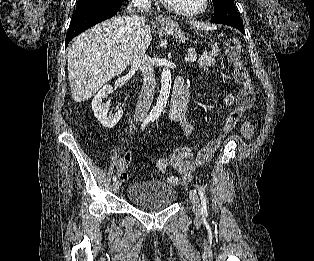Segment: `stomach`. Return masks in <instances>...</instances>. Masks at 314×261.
Listing matches in <instances>:
<instances>
[{"label": "stomach", "mask_w": 314, "mask_h": 261, "mask_svg": "<svg viewBox=\"0 0 314 261\" xmlns=\"http://www.w3.org/2000/svg\"><path fill=\"white\" fill-rule=\"evenodd\" d=\"M165 31L167 34L173 35L174 37H176L180 41H182V42L185 41V36L176 23H173V22L168 23Z\"/></svg>", "instance_id": "0dacf381"}]
</instances>
